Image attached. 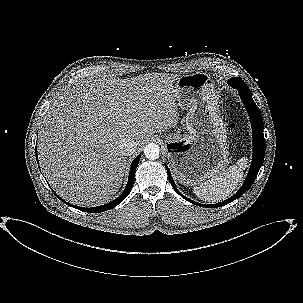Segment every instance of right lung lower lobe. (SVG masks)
<instances>
[{"label":"right lung lower lobe","instance_id":"obj_1","mask_svg":"<svg viewBox=\"0 0 303 303\" xmlns=\"http://www.w3.org/2000/svg\"><path fill=\"white\" fill-rule=\"evenodd\" d=\"M140 156L141 155H138L135 158V160L132 162L130 173H129V179H128V182H127V186H126L124 192L119 197H117L115 200H113V201H111V202H109L105 205L98 206V207H91V208H81V207H77V206H74V207L77 208V209L86 211V212L98 213V212H103V211H107L109 209H112L115 206H117L119 203H121L129 195V193H130V191L133 187L134 180H135V171H136V168L138 166ZM36 157H37V151H36ZM36 159L38 161V158H36ZM70 206H72V205L70 204Z\"/></svg>","mask_w":303,"mask_h":303}]
</instances>
